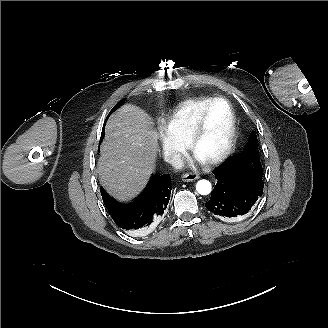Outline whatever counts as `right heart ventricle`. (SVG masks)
Instances as JSON below:
<instances>
[{"instance_id":"1","label":"right heart ventricle","mask_w":328,"mask_h":328,"mask_svg":"<svg viewBox=\"0 0 328 328\" xmlns=\"http://www.w3.org/2000/svg\"><path fill=\"white\" fill-rule=\"evenodd\" d=\"M213 98L201 96L185 100L157 115L156 121L171 141L185 146L199 113Z\"/></svg>"}]
</instances>
